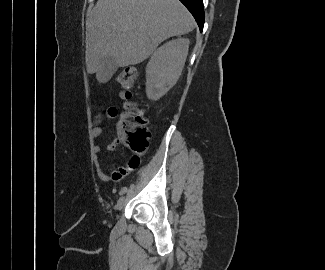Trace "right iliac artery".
<instances>
[{"label":"right iliac artery","mask_w":325,"mask_h":270,"mask_svg":"<svg viewBox=\"0 0 325 270\" xmlns=\"http://www.w3.org/2000/svg\"><path fill=\"white\" fill-rule=\"evenodd\" d=\"M127 190H128L127 187H123V188H121L119 194H120V195H123V194H125V193L127 192Z\"/></svg>","instance_id":"82829eb1"}]
</instances>
